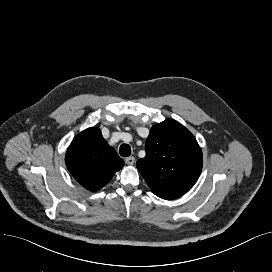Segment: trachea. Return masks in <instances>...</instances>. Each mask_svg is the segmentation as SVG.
<instances>
[{
  "label": "trachea",
  "instance_id": "trachea-1",
  "mask_svg": "<svg viewBox=\"0 0 272 272\" xmlns=\"http://www.w3.org/2000/svg\"><path fill=\"white\" fill-rule=\"evenodd\" d=\"M119 153L122 157H128L131 155V147L128 144H122L119 148Z\"/></svg>",
  "mask_w": 272,
  "mask_h": 272
}]
</instances>
